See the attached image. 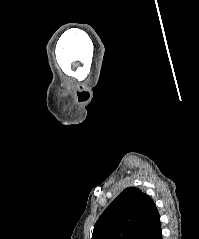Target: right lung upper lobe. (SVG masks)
Segmentation results:
<instances>
[{
	"instance_id": "cb5924a9",
	"label": "right lung upper lobe",
	"mask_w": 199,
	"mask_h": 239,
	"mask_svg": "<svg viewBox=\"0 0 199 239\" xmlns=\"http://www.w3.org/2000/svg\"><path fill=\"white\" fill-rule=\"evenodd\" d=\"M159 220L153 200L129 187L99 217L92 239H141Z\"/></svg>"
}]
</instances>
